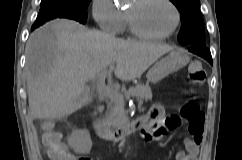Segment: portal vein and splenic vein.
<instances>
[{
    "instance_id": "1",
    "label": "portal vein and splenic vein",
    "mask_w": 242,
    "mask_h": 160,
    "mask_svg": "<svg viewBox=\"0 0 242 160\" xmlns=\"http://www.w3.org/2000/svg\"><path fill=\"white\" fill-rule=\"evenodd\" d=\"M106 76H107V69L103 70L98 76V79L96 82L97 90L100 93H103V94L109 96L111 99H118L119 94L116 91V89H113L105 84ZM140 104L141 103L139 102V106H140Z\"/></svg>"
}]
</instances>
